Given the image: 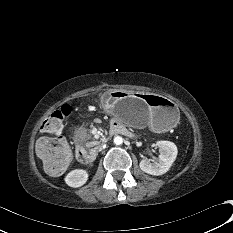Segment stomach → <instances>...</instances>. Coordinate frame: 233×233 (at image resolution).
<instances>
[{
  "label": "stomach",
  "instance_id": "obj_1",
  "mask_svg": "<svg viewBox=\"0 0 233 233\" xmlns=\"http://www.w3.org/2000/svg\"><path fill=\"white\" fill-rule=\"evenodd\" d=\"M102 103L107 112L135 128L149 126L165 132L179 119L177 105L161 95L115 90L107 94Z\"/></svg>",
  "mask_w": 233,
  "mask_h": 233
}]
</instances>
